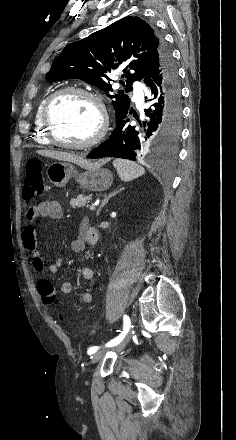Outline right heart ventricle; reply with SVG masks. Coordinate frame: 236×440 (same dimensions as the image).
<instances>
[{
    "label": "right heart ventricle",
    "instance_id": "e07e8e85",
    "mask_svg": "<svg viewBox=\"0 0 236 440\" xmlns=\"http://www.w3.org/2000/svg\"><path fill=\"white\" fill-rule=\"evenodd\" d=\"M47 98L48 97H45L39 102L34 114V140L42 145L51 144L41 124V113H42L43 105Z\"/></svg>",
    "mask_w": 236,
    "mask_h": 440
}]
</instances>
